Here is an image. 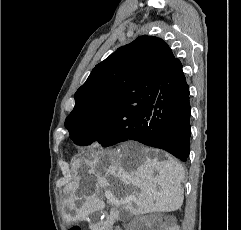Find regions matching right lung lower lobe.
<instances>
[{
    "label": "right lung lower lobe",
    "instance_id": "obj_1",
    "mask_svg": "<svg viewBox=\"0 0 241 230\" xmlns=\"http://www.w3.org/2000/svg\"><path fill=\"white\" fill-rule=\"evenodd\" d=\"M149 124L143 132H135L127 140L161 148L186 161L190 152L189 86L179 59L162 78L158 94L145 108ZM126 140V141H127Z\"/></svg>",
    "mask_w": 241,
    "mask_h": 230
}]
</instances>
